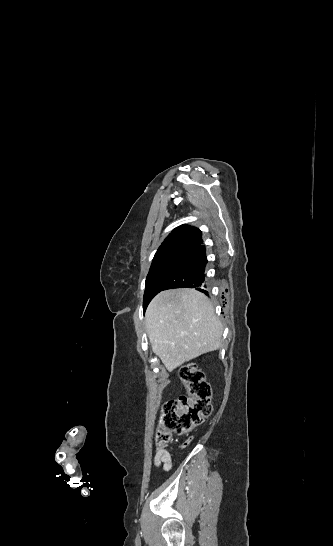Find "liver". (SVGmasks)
<instances>
[{"mask_svg": "<svg viewBox=\"0 0 333 546\" xmlns=\"http://www.w3.org/2000/svg\"><path fill=\"white\" fill-rule=\"evenodd\" d=\"M145 324L154 353L170 372L221 345L222 324L208 297L195 289L158 293Z\"/></svg>", "mask_w": 333, "mask_h": 546, "instance_id": "6515ba94", "label": "liver"}]
</instances>
